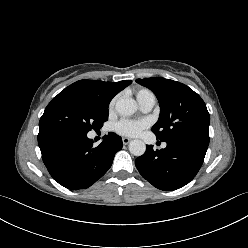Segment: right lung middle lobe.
<instances>
[{"instance_id":"dd1d6c3e","label":"right lung middle lobe","mask_w":248,"mask_h":248,"mask_svg":"<svg viewBox=\"0 0 248 248\" xmlns=\"http://www.w3.org/2000/svg\"><path fill=\"white\" fill-rule=\"evenodd\" d=\"M108 120V108L101 109L77 96L59 93L47 105L39 131L56 129L87 134Z\"/></svg>"}]
</instances>
